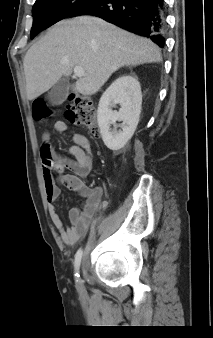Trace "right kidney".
Masks as SVG:
<instances>
[{
  "label": "right kidney",
  "mask_w": 213,
  "mask_h": 338,
  "mask_svg": "<svg viewBox=\"0 0 213 338\" xmlns=\"http://www.w3.org/2000/svg\"><path fill=\"white\" fill-rule=\"evenodd\" d=\"M119 104V111L112 107ZM142 94L138 80L133 76L116 79L100 98L97 121L104 144L111 150H119L133 136L141 113ZM123 121L122 131L111 130L110 125Z\"/></svg>",
  "instance_id": "obj_1"
}]
</instances>
